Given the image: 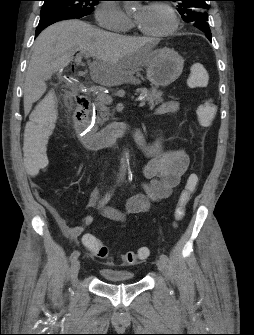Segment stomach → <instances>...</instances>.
I'll use <instances>...</instances> for the list:
<instances>
[{"label": "stomach", "instance_id": "stomach-1", "mask_svg": "<svg viewBox=\"0 0 254 335\" xmlns=\"http://www.w3.org/2000/svg\"><path fill=\"white\" fill-rule=\"evenodd\" d=\"M184 59L173 49L162 48L151 53L147 78L153 88L166 87L182 74Z\"/></svg>", "mask_w": 254, "mask_h": 335}]
</instances>
